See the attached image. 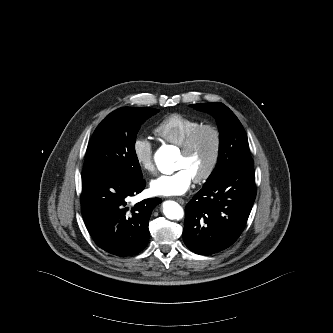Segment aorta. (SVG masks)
<instances>
[{
	"label": "aorta",
	"instance_id": "762f6f07",
	"mask_svg": "<svg viewBox=\"0 0 333 333\" xmlns=\"http://www.w3.org/2000/svg\"><path fill=\"white\" fill-rule=\"evenodd\" d=\"M177 153L171 146L160 147L154 156L157 168L164 174H172ZM163 214L170 220H180L184 216L183 208L175 201H165L163 203Z\"/></svg>",
	"mask_w": 333,
	"mask_h": 333
}]
</instances>
